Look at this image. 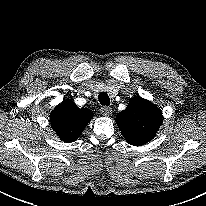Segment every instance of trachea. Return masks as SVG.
I'll return each mask as SVG.
<instances>
[{
  "mask_svg": "<svg viewBox=\"0 0 206 206\" xmlns=\"http://www.w3.org/2000/svg\"><path fill=\"white\" fill-rule=\"evenodd\" d=\"M98 99L101 105H105V106L110 105V98L106 92H101L98 96Z\"/></svg>",
  "mask_w": 206,
  "mask_h": 206,
  "instance_id": "1",
  "label": "trachea"
}]
</instances>
